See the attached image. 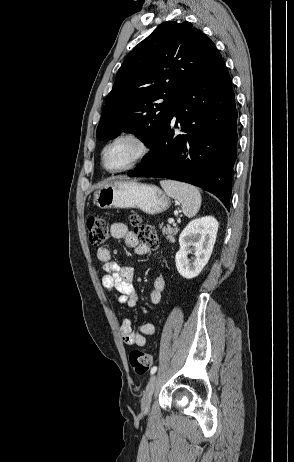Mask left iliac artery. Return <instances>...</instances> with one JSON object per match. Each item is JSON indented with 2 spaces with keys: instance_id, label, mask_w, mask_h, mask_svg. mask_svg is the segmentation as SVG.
I'll list each match as a JSON object with an SVG mask.
<instances>
[{
  "instance_id": "1",
  "label": "left iliac artery",
  "mask_w": 294,
  "mask_h": 462,
  "mask_svg": "<svg viewBox=\"0 0 294 462\" xmlns=\"http://www.w3.org/2000/svg\"><path fill=\"white\" fill-rule=\"evenodd\" d=\"M156 371H157V366H153L150 371V374L153 375Z\"/></svg>"
}]
</instances>
